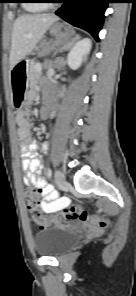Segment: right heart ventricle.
Segmentation results:
<instances>
[{
  "label": "right heart ventricle",
  "mask_w": 136,
  "mask_h": 296,
  "mask_svg": "<svg viewBox=\"0 0 136 296\" xmlns=\"http://www.w3.org/2000/svg\"><path fill=\"white\" fill-rule=\"evenodd\" d=\"M41 0H27L25 4H23V7L25 10L33 12V11H40L45 8V5L43 3H37Z\"/></svg>",
  "instance_id": "right-heart-ventricle-1"
}]
</instances>
